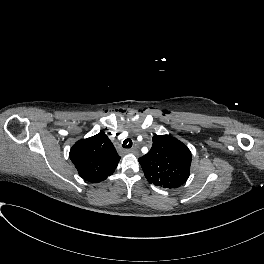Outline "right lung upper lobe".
<instances>
[{
	"mask_svg": "<svg viewBox=\"0 0 264 264\" xmlns=\"http://www.w3.org/2000/svg\"><path fill=\"white\" fill-rule=\"evenodd\" d=\"M70 159L84 180L99 183L113 174L120 157L106 134L100 132L75 143Z\"/></svg>",
	"mask_w": 264,
	"mask_h": 264,
	"instance_id": "cb5924a9",
	"label": "right lung upper lobe"
}]
</instances>
